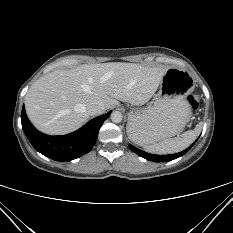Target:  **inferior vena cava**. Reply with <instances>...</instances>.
Segmentation results:
<instances>
[{"instance_id":"inferior-vena-cava-1","label":"inferior vena cava","mask_w":233,"mask_h":233,"mask_svg":"<svg viewBox=\"0 0 233 233\" xmlns=\"http://www.w3.org/2000/svg\"><path fill=\"white\" fill-rule=\"evenodd\" d=\"M87 110L91 115H100L104 113L106 108L102 102L92 101L87 105Z\"/></svg>"}]
</instances>
